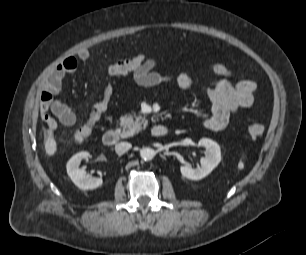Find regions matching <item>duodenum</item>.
Listing matches in <instances>:
<instances>
[{
    "label": "duodenum",
    "mask_w": 306,
    "mask_h": 255,
    "mask_svg": "<svg viewBox=\"0 0 306 255\" xmlns=\"http://www.w3.org/2000/svg\"><path fill=\"white\" fill-rule=\"evenodd\" d=\"M168 128L165 125L158 124L151 128L150 133L153 137H162L166 135ZM102 141L106 146H113L119 141V132L115 129L107 130L103 136Z\"/></svg>",
    "instance_id": "1"
}]
</instances>
